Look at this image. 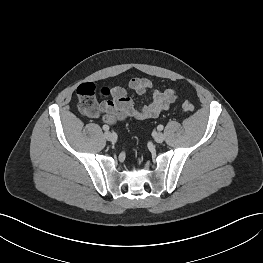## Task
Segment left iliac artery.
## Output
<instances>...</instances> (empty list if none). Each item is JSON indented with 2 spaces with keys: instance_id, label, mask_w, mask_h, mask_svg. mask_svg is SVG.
I'll use <instances>...</instances> for the list:
<instances>
[{
  "instance_id": "1",
  "label": "left iliac artery",
  "mask_w": 263,
  "mask_h": 263,
  "mask_svg": "<svg viewBox=\"0 0 263 263\" xmlns=\"http://www.w3.org/2000/svg\"><path fill=\"white\" fill-rule=\"evenodd\" d=\"M163 125H158V127H157V129L159 130V131H161V130H163Z\"/></svg>"
}]
</instances>
